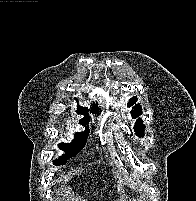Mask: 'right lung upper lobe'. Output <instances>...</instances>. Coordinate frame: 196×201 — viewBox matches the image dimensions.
Here are the masks:
<instances>
[{
	"label": "right lung upper lobe",
	"mask_w": 196,
	"mask_h": 201,
	"mask_svg": "<svg viewBox=\"0 0 196 201\" xmlns=\"http://www.w3.org/2000/svg\"><path fill=\"white\" fill-rule=\"evenodd\" d=\"M78 108V110H77V113L78 114H82V115H84L85 117H87V118H90L89 117V114H88V108H86V107H80V106H78L77 107ZM92 111L94 112V113H99V110H98V108L96 107V105L94 104V108L92 109Z\"/></svg>",
	"instance_id": "right-lung-upper-lobe-1"
}]
</instances>
